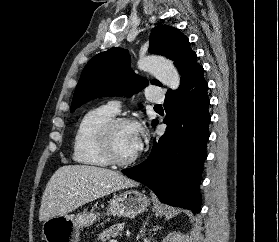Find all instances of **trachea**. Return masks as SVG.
Listing matches in <instances>:
<instances>
[{
    "label": "trachea",
    "mask_w": 279,
    "mask_h": 242,
    "mask_svg": "<svg viewBox=\"0 0 279 242\" xmlns=\"http://www.w3.org/2000/svg\"><path fill=\"white\" fill-rule=\"evenodd\" d=\"M162 107L160 104L155 105V108H160Z\"/></svg>",
    "instance_id": "obj_1"
}]
</instances>
